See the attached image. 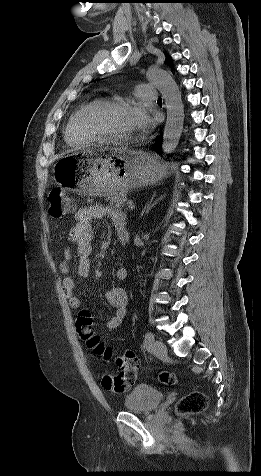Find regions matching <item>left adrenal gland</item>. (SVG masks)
<instances>
[{
    "label": "left adrenal gland",
    "mask_w": 261,
    "mask_h": 476,
    "mask_svg": "<svg viewBox=\"0 0 261 476\" xmlns=\"http://www.w3.org/2000/svg\"><path fill=\"white\" fill-rule=\"evenodd\" d=\"M155 196H156V194L154 193L152 198L150 199V201L145 205V207L143 209V213L148 214L149 211L152 209V207H154V205H156L157 202L163 198V196H161L160 198H158L154 201Z\"/></svg>",
    "instance_id": "a2214340"
}]
</instances>
